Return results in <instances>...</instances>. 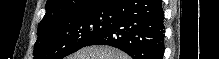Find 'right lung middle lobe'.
Returning a JSON list of instances; mask_svg holds the SVG:
<instances>
[{"mask_svg": "<svg viewBox=\"0 0 219 59\" xmlns=\"http://www.w3.org/2000/svg\"><path fill=\"white\" fill-rule=\"evenodd\" d=\"M113 9L58 18L40 24L34 59H62L76 52L107 29Z\"/></svg>", "mask_w": 219, "mask_h": 59, "instance_id": "obj_1", "label": "right lung middle lobe"}]
</instances>
